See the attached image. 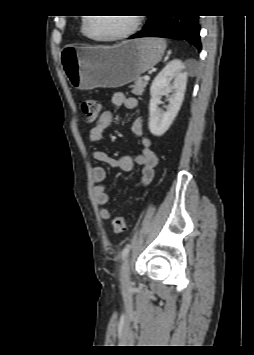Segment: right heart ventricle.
I'll use <instances>...</instances> for the list:
<instances>
[{
	"label": "right heart ventricle",
	"instance_id": "right-heart-ventricle-1",
	"mask_svg": "<svg viewBox=\"0 0 254 355\" xmlns=\"http://www.w3.org/2000/svg\"><path fill=\"white\" fill-rule=\"evenodd\" d=\"M84 23H85V17L82 18V21H81V32L84 36H86L85 31H84Z\"/></svg>",
	"mask_w": 254,
	"mask_h": 355
}]
</instances>
